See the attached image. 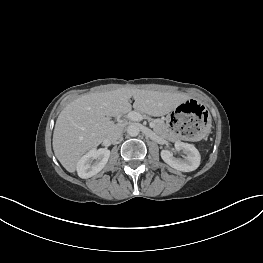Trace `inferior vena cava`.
<instances>
[{"mask_svg":"<svg viewBox=\"0 0 263 263\" xmlns=\"http://www.w3.org/2000/svg\"><path fill=\"white\" fill-rule=\"evenodd\" d=\"M123 128L119 125H116L108 134V139L115 142L121 138Z\"/></svg>","mask_w":263,"mask_h":263,"instance_id":"inferior-vena-cava-1","label":"inferior vena cava"}]
</instances>
